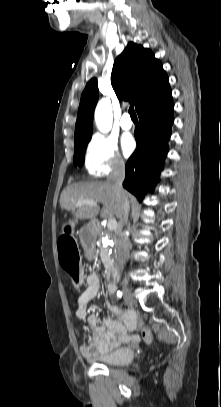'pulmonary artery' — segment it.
<instances>
[{"mask_svg": "<svg viewBox=\"0 0 221 407\" xmlns=\"http://www.w3.org/2000/svg\"><path fill=\"white\" fill-rule=\"evenodd\" d=\"M120 126L124 130H129L133 127V122L127 112H125L120 120Z\"/></svg>", "mask_w": 221, "mask_h": 407, "instance_id": "pulmonary-artery-1", "label": "pulmonary artery"}]
</instances>
